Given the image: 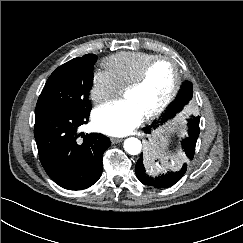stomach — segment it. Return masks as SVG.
I'll return each mask as SVG.
<instances>
[{"label":"stomach","instance_id":"1","mask_svg":"<svg viewBox=\"0 0 243 243\" xmlns=\"http://www.w3.org/2000/svg\"><path fill=\"white\" fill-rule=\"evenodd\" d=\"M178 121L173 120L167 125L158 129L152 136L149 153L151 156H163L168 151L169 142L171 137L177 131Z\"/></svg>","mask_w":243,"mask_h":243}]
</instances>
